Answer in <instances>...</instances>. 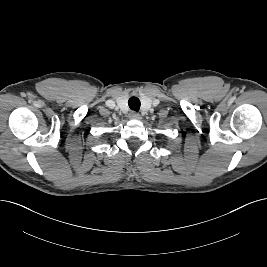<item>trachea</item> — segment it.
Wrapping results in <instances>:
<instances>
[{
  "instance_id": "1",
  "label": "trachea",
  "mask_w": 267,
  "mask_h": 267,
  "mask_svg": "<svg viewBox=\"0 0 267 267\" xmlns=\"http://www.w3.org/2000/svg\"><path fill=\"white\" fill-rule=\"evenodd\" d=\"M128 105L131 110L138 112L140 109V100L137 97H131L128 100Z\"/></svg>"
}]
</instances>
